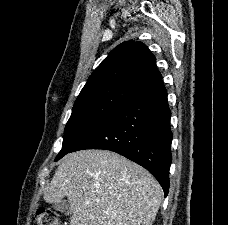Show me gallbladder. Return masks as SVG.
<instances>
[{
    "instance_id": "obj_1",
    "label": "gallbladder",
    "mask_w": 228,
    "mask_h": 225,
    "mask_svg": "<svg viewBox=\"0 0 228 225\" xmlns=\"http://www.w3.org/2000/svg\"><path fill=\"white\" fill-rule=\"evenodd\" d=\"M53 209H55V211H60V213H64V215H71V211L69 209V203H67V201H60V203H53Z\"/></svg>"
}]
</instances>
